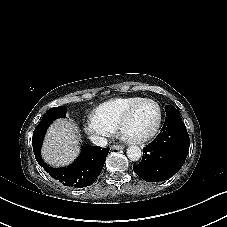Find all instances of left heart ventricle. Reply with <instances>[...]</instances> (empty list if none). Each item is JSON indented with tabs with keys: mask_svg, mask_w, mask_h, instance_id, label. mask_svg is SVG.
I'll list each match as a JSON object with an SVG mask.
<instances>
[{
	"mask_svg": "<svg viewBox=\"0 0 227 227\" xmlns=\"http://www.w3.org/2000/svg\"><path fill=\"white\" fill-rule=\"evenodd\" d=\"M157 118L158 111L155 105L150 103L142 104L128 120L124 132L127 135H147L153 130Z\"/></svg>",
	"mask_w": 227,
	"mask_h": 227,
	"instance_id": "obj_1",
	"label": "left heart ventricle"
}]
</instances>
